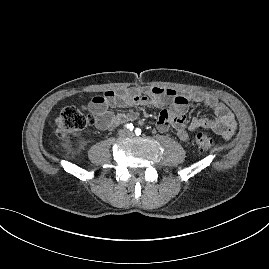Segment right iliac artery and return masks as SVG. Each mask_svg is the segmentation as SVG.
<instances>
[{"label":"right iliac artery","instance_id":"obj_1","mask_svg":"<svg viewBox=\"0 0 269 269\" xmlns=\"http://www.w3.org/2000/svg\"><path fill=\"white\" fill-rule=\"evenodd\" d=\"M125 128L132 131L134 129V126H133L132 123H128V124L125 125Z\"/></svg>","mask_w":269,"mask_h":269}]
</instances>
